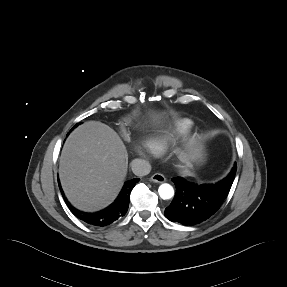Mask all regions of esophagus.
<instances>
[{"mask_svg": "<svg viewBox=\"0 0 287 287\" xmlns=\"http://www.w3.org/2000/svg\"><path fill=\"white\" fill-rule=\"evenodd\" d=\"M151 181L155 183H163L166 181V178L164 175L160 173H155L154 175L151 176Z\"/></svg>", "mask_w": 287, "mask_h": 287, "instance_id": "esophagus-1", "label": "esophagus"}]
</instances>
